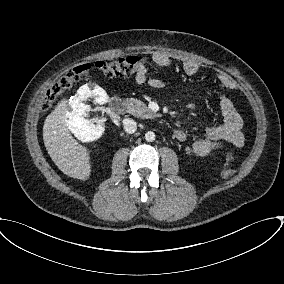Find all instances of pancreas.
Listing matches in <instances>:
<instances>
[{
    "label": "pancreas",
    "instance_id": "1",
    "mask_svg": "<svg viewBox=\"0 0 284 284\" xmlns=\"http://www.w3.org/2000/svg\"><path fill=\"white\" fill-rule=\"evenodd\" d=\"M128 112L137 118H154L156 114L146 106L144 102L135 98L125 99Z\"/></svg>",
    "mask_w": 284,
    "mask_h": 284
}]
</instances>
